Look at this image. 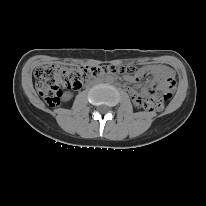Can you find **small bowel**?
<instances>
[{"label": "small bowel", "instance_id": "obj_1", "mask_svg": "<svg viewBox=\"0 0 206 206\" xmlns=\"http://www.w3.org/2000/svg\"><path fill=\"white\" fill-rule=\"evenodd\" d=\"M149 72L154 76L156 80L160 82H164L167 78L173 77V72L163 66H153L149 69ZM125 80H127L128 82L136 81V79L131 76H125ZM130 92L132 94V97L138 96V94L134 90H131Z\"/></svg>", "mask_w": 206, "mask_h": 206}]
</instances>
